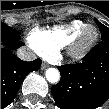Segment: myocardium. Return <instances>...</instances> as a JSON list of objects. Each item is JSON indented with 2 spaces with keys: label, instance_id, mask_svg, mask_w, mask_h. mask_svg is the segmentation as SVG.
Instances as JSON below:
<instances>
[{
  "label": "myocardium",
  "instance_id": "myocardium-1",
  "mask_svg": "<svg viewBox=\"0 0 109 109\" xmlns=\"http://www.w3.org/2000/svg\"><path fill=\"white\" fill-rule=\"evenodd\" d=\"M94 30L95 35L94 37L88 41L84 42V38L88 31ZM99 37L98 30L96 27L92 25H87L82 30H80L74 39L71 41V43L68 45L67 54L72 60H79L83 58L95 45ZM48 59H53V57H49Z\"/></svg>",
  "mask_w": 109,
  "mask_h": 109
}]
</instances>
